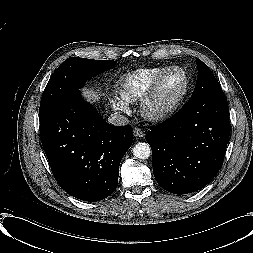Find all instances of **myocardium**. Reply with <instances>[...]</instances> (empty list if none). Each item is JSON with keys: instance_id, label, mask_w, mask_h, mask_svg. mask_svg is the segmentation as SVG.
<instances>
[{"instance_id": "f54148a6", "label": "myocardium", "mask_w": 253, "mask_h": 253, "mask_svg": "<svg viewBox=\"0 0 253 253\" xmlns=\"http://www.w3.org/2000/svg\"><path fill=\"white\" fill-rule=\"evenodd\" d=\"M180 71L184 76V87L175 101L168 107L156 108L154 101L163 79L172 71ZM190 88V78L187 71L180 66H170L161 72L152 82L147 92L140 100V114L141 116L151 122H162L173 116L184 102Z\"/></svg>"}]
</instances>
